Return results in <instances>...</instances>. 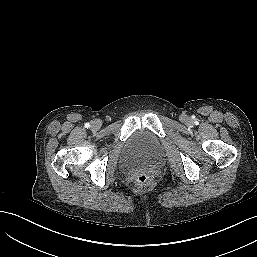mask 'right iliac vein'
Instances as JSON below:
<instances>
[{"label": "right iliac vein", "mask_w": 257, "mask_h": 257, "mask_svg": "<svg viewBox=\"0 0 257 257\" xmlns=\"http://www.w3.org/2000/svg\"><path fill=\"white\" fill-rule=\"evenodd\" d=\"M99 127H100V125H99L98 122H96V121L92 122V124H91V129H92L93 131H97V130L99 129Z\"/></svg>", "instance_id": "obj_1"}]
</instances>
